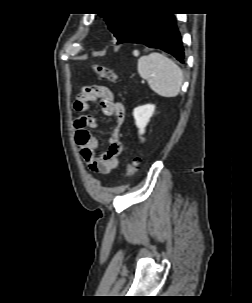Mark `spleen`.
I'll list each match as a JSON object with an SVG mask.
<instances>
[{
  "mask_svg": "<svg viewBox=\"0 0 252 303\" xmlns=\"http://www.w3.org/2000/svg\"><path fill=\"white\" fill-rule=\"evenodd\" d=\"M137 70L158 95L170 98L179 94L183 83V72L165 55L152 52L140 57Z\"/></svg>",
  "mask_w": 252,
  "mask_h": 303,
  "instance_id": "spleen-1",
  "label": "spleen"
}]
</instances>
